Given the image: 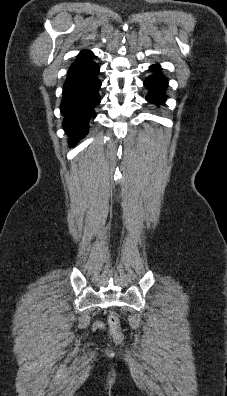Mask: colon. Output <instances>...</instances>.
<instances>
[{
	"label": "colon",
	"mask_w": 227,
	"mask_h": 396,
	"mask_svg": "<svg viewBox=\"0 0 227 396\" xmlns=\"http://www.w3.org/2000/svg\"><path fill=\"white\" fill-rule=\"evenodd\" d=\"M110 335L116 342L123 340V333L120 327V319L117 313L112 312L108 319Z\"/></svg>",
	"instance_id": "obj_1"
}]
</instances>
